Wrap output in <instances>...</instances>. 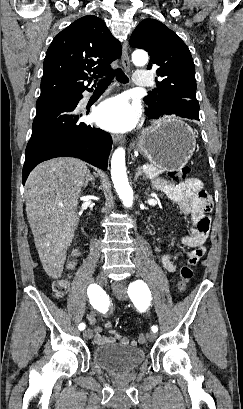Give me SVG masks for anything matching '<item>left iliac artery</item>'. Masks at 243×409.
I'll list each match as a JSON object with an SVG mask.
<instances>
[{"label": "left iliac artery", "instance_id": "44dca946", "mask_svg": "<svg viewBox=\"0 0 243 409\" xmlns=\"http://www.w3.org/2000/svg\"><path fill=\"white\" fill-rule=\"evenodd\" d=\"M148 293V287L142 280L131 283L128 288V294L134 303H136L139 298H142V296L148 298ZM151 330L156 333L158 331V327L152 326Z\"/></svg>", "mask_w": 243, "mask_h": 409}]
</instances>
